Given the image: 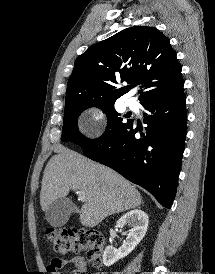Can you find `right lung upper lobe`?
<instances>
[{
  "label": "right lung upper lobe",
  "instance_id": "right-lung-upper-lobe-1",
  "mask_svg": "<svg viewBox=\"0 0 215 274\" xmlns=\"http://www.w3.org/2000/svg\"><path fill=\"white\" fill-rule=\"evenodd\" d=\"M127 82V87L119 84ZM141 84L139 100L183 91L181 65L169 39L158 29L133 26L90 46L76 60L68 80L65 106L115 102Z\"/></svg>",
  "mask_w": 215,
  "mask_h": 274
}]
</instances>
